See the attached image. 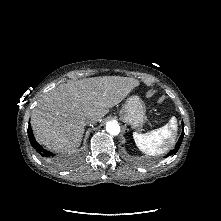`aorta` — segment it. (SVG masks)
I'll return each mask as SVG.
<instances>
[{
	"label": "aorta",
	"instance_id": "aorta-1",
	"mask_svg": "<svg viewBox=\"0 0 221 221\" xmlns=\"http://www.w3.org/2000/svg\"><path fill=\"white\" fill-rule=\"evenodd\" d=\"M106 131L111 135H118L120 133V126L115 121H109L106 123Z\"/></svg>",
	"mask_w": 221,
	"mask_h": 221
}]
</instances>
